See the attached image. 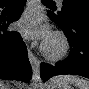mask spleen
Listing matches in <instances>:
<instances>
[{
    "label": "spleen",
    "instance_id": "1",
    "mask_svg": "<svg viewBox=\"0 0 89 89\" xmlns=\"http://www.w3.org/2000/svg\"><path fill=\"white\" fill-rule=\"evenodd\" d=\"M58 80L67 84H73L77 89H89V82L77 76L66 75L64 77H59Z\"/></svg>",
    "mask_w": 89,
    "mask_h": 89
}]
</instances>
